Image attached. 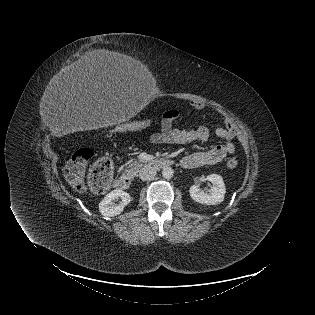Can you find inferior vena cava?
<instances>
[{"mask_svg": "<svg viewBox=\"0 0 315 315\" xmlns=\"http://www.w3.org/2000/svg\"><path fill=\"white\" fill-rule=\"evenodd\" d=\"M156 175V169L150 165H145L139 172L141 180H150Z\"/></svg>", "mask_w": 315, "mask_h": 315, "instance_id": "1", "label": "inferior vena cava"}]
</instances>
